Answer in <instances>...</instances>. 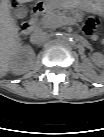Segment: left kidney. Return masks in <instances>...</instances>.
<instances>
[{
    "label": "left kidney",
    "mask_w": 104,
    "mask_h": 137,
    "mask_svg": "<svg viewBox=\"0 0 104 137\" xmlns=\"http://www.w3.org/2000/svg\"><path fill=\"white\" fill-rule=\"evenodd\" d=\"M92 61L95 62L98 65H103L104 63V57L101 53H94L92 55ZM85 64H90L89 62H85Z\"/></svg>",
    "instance_id": "obj_1"
}]
</instances>
